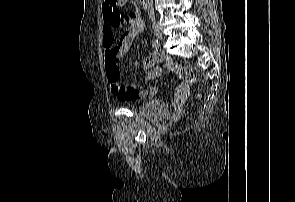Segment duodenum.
Instances as JSON below:
<instances>
[{
	"instance_id": "obj_1",
	"label": "duodenum",
	"mask_w": 295,
	"mask_h": 202,
	"mask_svg": "<svg viewBox=\"0 0 295 202\" xmlns=\"http://www.w3.org/2000/svg\"><path fill=\"white\" fill-rule=\"evenodd\" d=\"M139 1H140L141 6H143L144 8L147 7L148 0H139Z\"/></svg>"
}]
</instances>
